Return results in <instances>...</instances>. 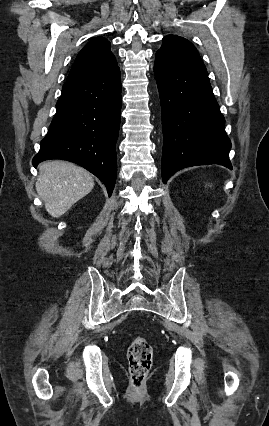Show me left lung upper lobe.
Here are the masks:
<instances>
[{
  "mask_svg": "<svg viewBox=\"0 0 269 426\" xmlns=\"http://www.w3.org/2000/svg\"><path fill=\"white\" fill-rule=\"evenodd\" d=\"M168 36H176V35H168ZM176 37H179V36H176Z\"/></svg>",
  "mask_w": 269,
  "mask_h": 426,
  "instance_id": "left-lung-upper-lobe-1",
  "label": "left lung upper lobe"
}]
</instances>
